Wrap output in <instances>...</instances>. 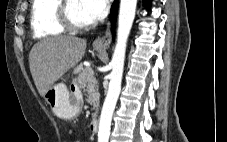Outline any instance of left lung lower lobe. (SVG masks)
I'll return each mask as SVG.
<instances>
[{
    "mask_svg": "<svg viewBox=\"0 0 227 142\" xmlns=\"http://www.w3.org/2000/svg\"><path fill=\"white\" fill-rule=\"evenodd\" d=\"M143 2L146 6H149L151 4V0H143ZM117 7H118V0H115L112 5L111 14H110V18L113 24L115 23V20H116Z\"/></svg>",
    "mask_w": 227,
    "mask_h": 142,
    "instance_id": "left-lung-lower-lobe-1",
    "label": "left lung lower lobe"
}]
</instances>
